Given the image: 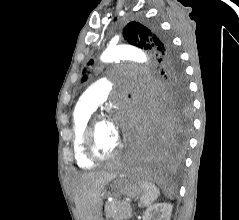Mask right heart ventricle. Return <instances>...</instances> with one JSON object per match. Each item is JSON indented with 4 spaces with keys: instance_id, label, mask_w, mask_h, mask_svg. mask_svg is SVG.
Segmentation results:
<instances>
[{
    "instance_id": "right-heart-ventricle-1",
    "label": "right heart ventricle",
    "mask_w": 239,
    "mask_h": 220,
    "mask_svg": "<svg viewBox=\"0 0 239 220\" xmlns=\"http://www.w3.org/2000/svg\"><path fill=\"white\" fill-rule=\"evenodd\" d=\"M94 110L78 103L73 111L72 117V146L74 158L77 165L81 168H92L94 161L91 160L84 149V132Z\"/></svg>"
}]
</instances>
